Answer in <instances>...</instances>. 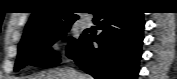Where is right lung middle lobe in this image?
<instances>
[{"label": "right lung middle lobe", "instance_id": "obj_1", "mask_svg": "<svg viewBox=\"0 0 177 79\" xmlns=\"http://www.w3.org/2000/svg\"><path fill=\"white\" fill-rule=\"evenodd\" d=\"M71 24L42 29L31 35L22 38L18 47V57L15 64V71H18L26 65H33L37 67L56 66L60 63L57 53H55L51 46L59 38L66 35ZM75 39L73 37L66 38L69 41L67 46V55H69L80 42L81 38Z\"/></svg>", "mask_w": 177, "mask_h": 79}]
</instances>
